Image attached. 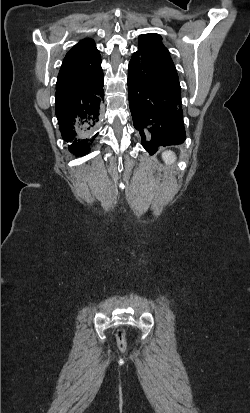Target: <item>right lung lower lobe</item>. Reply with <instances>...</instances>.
<instances>
[{
  "instance_id": "obj_1",
  "label": "right lung lower lobe",
  "mask_w": 250,
  "mask_h": 413,
  "mask_svg": "<svg viewBox=\"0 0 250 413\" xmlns=\"http://www.w3.org/2000/svg\"><path fill=\"white\" fill-rule=\"evenodd\" d=\"M102 69L90 81L66 87H56V116L63 139L69 150L82 156L89 152L94 141L104 101Z\"/></svg>"
}]
</instances>
